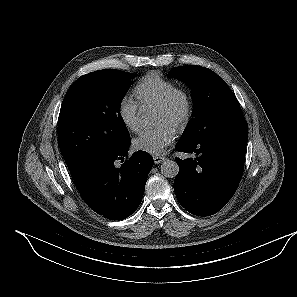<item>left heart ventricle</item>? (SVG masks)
<instances>
[{"label": "left heart ventricle", "mask_w": 297, "mask_h": 297, "mask_svg": "<svg viewBox=\"0 0 297 297\" xmlns=\"http://www.w3.org/2000/svg\"><path fill=\"white\" fill-rule=\"evenodd\" d=\"M156 121L157 123H168L172 125V118L171 115L163 110L157 109L156 110Z\"/></svg>", "instance_id": "left-heart-ventricle-1"}]
</instances>
